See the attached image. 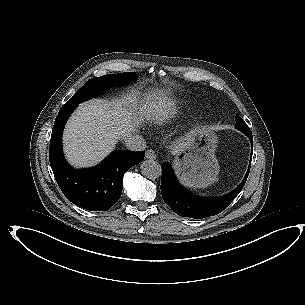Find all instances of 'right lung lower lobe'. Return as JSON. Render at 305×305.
<instances>
[{
  "mask_svg": "<svg viewBox=\"0 0 305 305\" xmlns=\"http://www.w3.org/2000/svg\"><path fill=\"white\" fill-rule=\"evenodd\" d=\"M75 108L64 104L56 117L50 140L51 168L60 189L72 203L89 211H107L120 199L123 175L143 160L144 152L116 150L97 166L72 168L63 156L62 132Z\"/></svg>",
  "mask_w": 305,
  "mask_h": 305,
  "instance_id": "right-lung-lower-lobe-1",
  "label": "right lung lower lobe"
}]
</instances>
